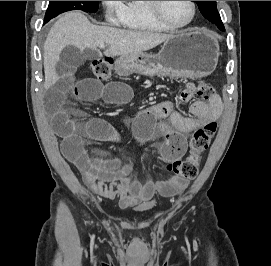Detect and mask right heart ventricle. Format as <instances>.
<instances>
[{
    "label": "right heart ventricle",
    "mask_w": 271,
    "mask_h": 266,
    "mask_svg": "<svg viewBox=\"0 0 271 266\" xmlns=\"http://www.w3.org/2000/svg\"><path fill=\"white\" fill-rule=\"evenodd\" d=\"M120 23L131 30L167 32L170 29L157 21L147 7V1H127L119 14Z\"/></svg>",
    "instance_id": "e07e8e85"
}]
</instances>
